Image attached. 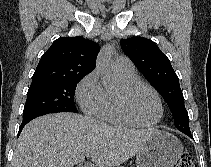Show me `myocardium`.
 <instances>
[{"label":"myocardium","mask_w":211,"mask_h":167,"mask_svg":"<svg viewBox=\"0 0 211 167\" xmlns=\"http://www.w3.org/2000/svg\"><path fill=\"white\" fill-rule=\"evenodd\" d=\"M141 88L148 89L151 91L154 96L157 99L159 109H160V115L158 119L152 123H143L137 120L128 110L127 105H126V97ZM114 101H115V106L120 114V116L125 119L127 122L131 123L134 126H139V127H144V128H152L157 126L163 119L164 117V105L161 99L160 94L158 91L152 87L151 85L144 83L142 81H134V82H129V83H124L122 86V90L120 93H116L114 96Z\"/></svg>","instance_id":"obj_1"}]
</instances>
